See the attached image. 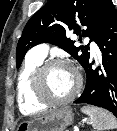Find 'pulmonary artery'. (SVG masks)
<instances>
[{
	"mask_svg": "<svg viewBox=\"0 0 117 131\" xmlns=\"http://www.w3.org/2000/svg\"><path fill=\"white\" fill-rule=\"evenodd\" d=\"M86 42H89V39H86ZM47 46L45 45H39L35 48H33L29 54V58H37V59H44L47 55ZM91 51L92 53L96 54L98 53L99 49L96 44L91 43Z\"/></svg>",
	"mask_w": 117,
	"mask_h": 131,
	"instance_id": "obj_1",
	"label": "pulmonary artery"
}]
</instances>
